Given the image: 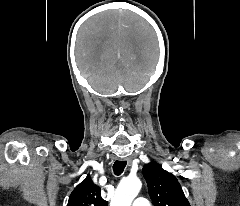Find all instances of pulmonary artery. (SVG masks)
<instances>
[{
	"mask_svg": "<svg viewBox=\"0 0 240 206\" xmlns=\"http://www.w3.org/2000/svg\"><path fill=\"white\" fill-rule=\"evenodd\" d=\"M132 206H151L146 198L139 197L134 200Z\"/></svg>",
	"mask_w": 240,
	"mask_h": 206,
	"instance_id": "1",
	"label": "pulmonary artery"
}]
</instances>
